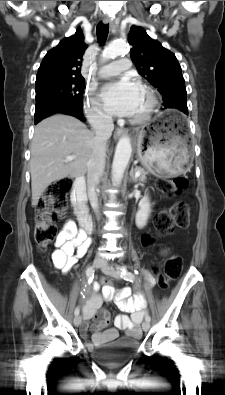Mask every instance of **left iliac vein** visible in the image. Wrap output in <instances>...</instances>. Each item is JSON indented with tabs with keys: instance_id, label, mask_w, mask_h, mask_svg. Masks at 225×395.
<instances>
[{
	"instance_id": "4c4485c4",
	"label": "left iliac vein",
	"mask_w": 225,
	"mask_h": 395,
	"mask_svg": "<svg viewBox=\"0 0 225 395\" xmlns=\"http://www.w3.org/2000/svg\"><path fill=\"white\" fill-rule=\"evenodd\" d=\"M101 269L106 275L115 279H119V274L106 261H104L101 265ZM142 329L143 331L147 332L150 329V322L145 320L142 323Z\"/></svg>"
}]
</instances>
